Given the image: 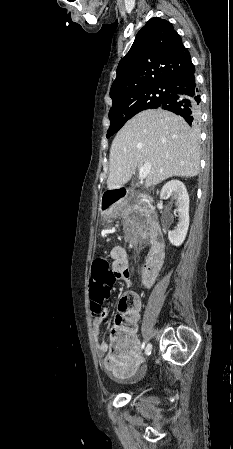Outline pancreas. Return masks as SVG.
I'll use <instances>...</instances> for the list:
<instances>
[{
	"instance_id": "1",
	"label": "pancreas",
	"mask_w": 233,
	"mask_h": 449,
	"mask_svg": "<svg viewBox=\"0 0 233 449\" xmlns=\"http://www.w3.org/2000/svg\"><path fill=\"white\" fill-rule=\"evenodd\" d=\"M132 209L142 213L144 211V209H145V206H142V205H139V204H134V205H131V206L128 207L127 212H129Z\"/></svg>"
}]
</instances>
